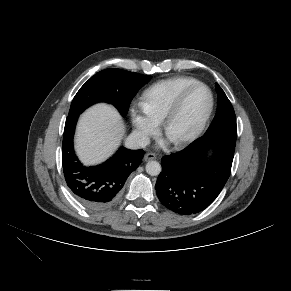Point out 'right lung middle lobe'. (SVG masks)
Returning <instances> with one entry per match:
<instances>
[{"mask_svg":"<svg viewBox=\"0 0 291 291\" xmlns=\"http://www.w3.org/2000/svg\"><path fill=\"white\" fill-rule=\"evenodd\" d=\"M151 76L121 69H105L91 77L75 95L68 116L82 113L97 102L113 104L126 116L131 100Z\"/></svg>","mask_w":291,"mask_h":291,"instance_id":"right-lung-middle-lobe-1","label":"right lung middle lobe"}]
</instances>
